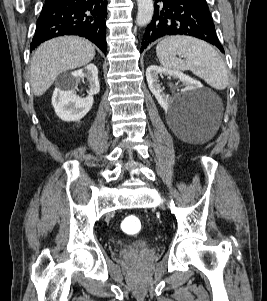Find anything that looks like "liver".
Segmentation results:
<instances>
[{
	"mask_svg": "<svg viewBox=\"0 0 267 301\" xmlns=\"http://www.w3.org/2000/svg\"><path fill=\"white\" fill-rule=\"evenodd\" d=\"M94 56L93 44L77 36L58 37L41 44L31 59L33 94L43 95L60 73L85 66Z\"/></svg>",
	"mask_w": 267,
	"mask_h": 301,
	"instance_id": "liver-1",
	"label": "liver"
}]
</instances>
